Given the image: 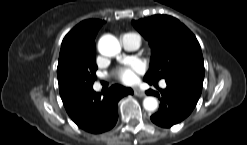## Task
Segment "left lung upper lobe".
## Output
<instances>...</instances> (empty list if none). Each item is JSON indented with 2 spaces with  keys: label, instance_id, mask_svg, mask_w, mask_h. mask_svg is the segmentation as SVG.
Here are the masks:
<instances>
[{
  "label": "left lung upper lobe",
  "instance_id": "1",
  "mask_svg": "<svg viewBox=\"0 0 247 145\" xmlns=\"http://www.w3.org/2000/svg\"><path fill=\"white\" fill-rule=\"evenodd\" d=\"M132 24L149 41L153 52L145 81L183 76L203 82L204 62L199 42L178 19L154 15Z\"/></svg>",
  "mask_w": 247,
  "mask_h": 145
}]
</instances>
